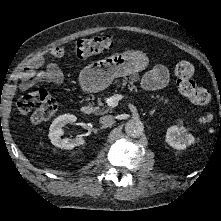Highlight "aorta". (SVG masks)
I'll list each match as a JSON object with an SVG mask.
<instances>
[{"instance_id": "aorta-1", "label": "aorta", "mask_w": 221, "mask_h": 221, "mask_svg": "<svg viewBox=\"0 0 221 221\" xmlns=\"http://www.w3.org/2000/svg\"><path fill=\"white\" fill-rule=\"evenodd\" d=\"M144 125L138 119H131L125 124V132L128 136L139 137L143 134Z\"/></svg>"}]
</instances>
